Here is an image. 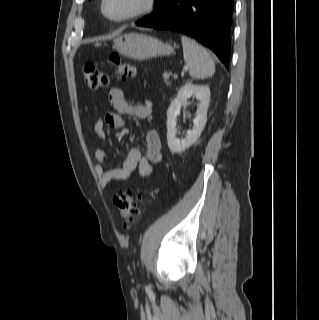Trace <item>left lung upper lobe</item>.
<instances>
[{
    "mask_svg": "<svg viewBox=\"0 0 319 320\" xmlns=\"http://www.w3.org/2000/svg\"><path fill=\"white\" fill-rule=\"evenodd\" d=\"M162 1L163 0H155V7L154 8H157L158 6H160Z\"/></svg>",
    "mask_w": 319,
    "mask_h": 320,
    "instance_id": "obj_1",
    "label": "left lung upper lobe"
}]
</instances>
